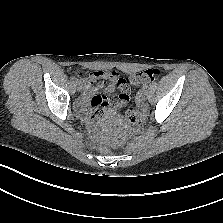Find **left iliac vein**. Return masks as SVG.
Wrapping results in <instances>:
<instances>
[{
	"mask_svg": "<svg viewBox=\"0 0 223 223\" xmlns=\"http://www.w3.org/2000/svg\"><path fill=\"white\" fill-rule=\"evenodd\" d=\"M141 99H142V100H145L146 98H145V96H142Z\"/></svg>",
	"mask_w": 223,
	"mask_h": 223,
	"instance_id": "1",
	"label": "left iliac vein"
}]
</instances>
